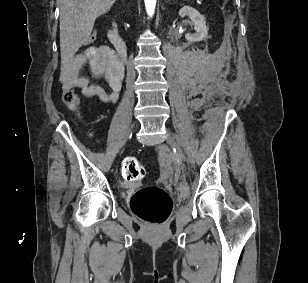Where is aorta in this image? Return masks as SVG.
Instances as JSON below:
<instances>
[{"label":"aorta","mask_w":308,"mask_h":283,"mask_svg":"<svg viewBox=\"0 0 308 283\" xmlns=\"http://www.w3.org/2000/svg\"><path fill=\"white\" fill-rule=\"evenodd\" d=\"M146 11L149 16H152L155 12L156 0H144Z\"/></svg>","instance_id":"aorta-1"}]
</instances>
